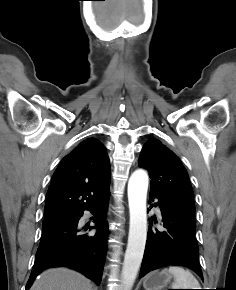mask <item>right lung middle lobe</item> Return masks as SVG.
<instances>
[{
	"instance_id": "obj_1",
	"label": "right lung middle lobe",
	"mask_w": 236,
	"mask_h": 290,
	"mask_svg": "<svg viewBox=\"0 0 236 290\" xmlns=\"http://www.w3.org/2000/svg\"><path fill=\"white\" fill-rule=\"evenodd\" d=\"M73 216H60V217H52V218H45L42 224V230H47L53 226L62 224L71 220Z\"/></svg>"
}]
</instances>
